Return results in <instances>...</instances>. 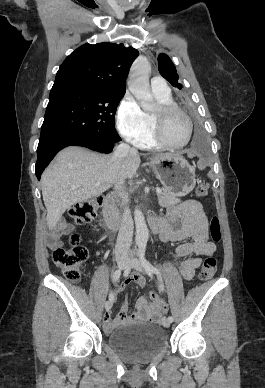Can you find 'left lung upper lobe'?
Listing matches in <instances>:
<instances>
[{
    "label": "left lung upper lobe",
    "instance_id": "1",
    "mask_svg": "<svg viewBox=\"0 0 265 388\" xmlns=\"http://www.w3.org/2000/svg\"><path fill=\"white\" fill-rule=\"evenodd\" d=\"M158 69L161 75L167 79L172 86L179 89L182 88V85L178 82L179 77L176 72L174 63L164 53H161L158 56Z\"/></svg>",
    "mask_w": 265,
    "mask_h": 388
}]
</instances>
